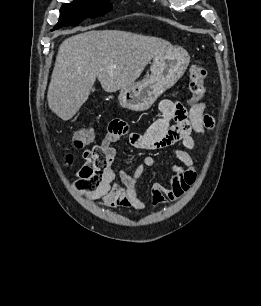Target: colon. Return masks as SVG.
Returning <instances> with one entry per match:
<instances>
[{
    "label": "colon",
    "mask_w": 261,
    "mask_h": 306,
    "mask_svg": "<svg viewBox=\"0 0 261 306\" xmlns=\"http://www.w3.org/2000/svg\"><path fill=\"white\" fill-rule=\"evenodd\" d=\"M207 77L206 69L201 63L196 62L189 69V89L192 94V102L197 103L205 92V80ZM73 145L82 149L92 143V132L88 128H78L73 136ZM84 157L89 158L96 168L102 169L106 165V154L103 148L95 145L84 152ZM77 187L80 189H91L93 184L78 174L76 181Z\"/></svg>",
    "instance_id": "5ec220e1"
}]
</instances>
